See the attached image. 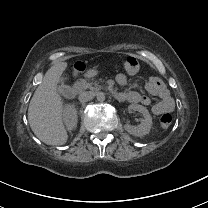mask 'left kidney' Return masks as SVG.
<instances>
[{"mask_svg": "<svg viewBox=\"0 0 208 208\" xmlns=\"http://www.w3.org/2000/svg\"><path fill=\"white\" fill-rule=\"evenodd\" d=\"M128 109L130 111H137L143 114L144 119L141 120V123L138 127L131 126V125H124V129L126 132H128L130 135L136 136V137H142L144 135H147L150 132L151 125H152V118L148 112V110L138 104H131L128 106Z\"/></svg>", "mask_w": 208, "mask_h": 208, "instance_id": "obj_1", "label": "left kidney"}]
</instances>
